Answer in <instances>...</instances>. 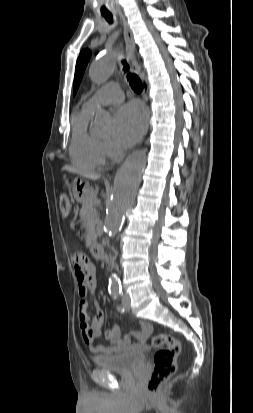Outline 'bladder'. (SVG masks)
I'll list each match as a JSON object with an SVG mask.
<instances>
[{"label":"bladder","instance_id":"bladder-1","mask_svg":"<svg viewBox=\"0 0 253 413\" xmlns=\"http://www.w3.org/2000/svg\"><path fill=\"white\" fill-rule=\"evenodd\" d=\"M145 361L142 350H132L112 355L95 356L93 362L96 366L111 371L127 372L141 366Z\"/></svg>","mask_w":253,"mask_h":413}]
</instances>
